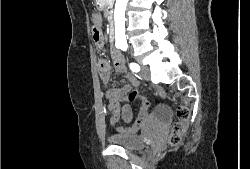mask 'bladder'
<instances>
[{
  "instance_id": "bladder-1",
  "label": "bladder",
  "mask_w": 250,
  "mask_h": 169,
  "mask_svg": "<svg viewBox=\"0 0 250 169\" xmlns=\"http://www.w3.org/2000/svg\"><path fill=\"white\" fill-rule=\"evenodd\" d=\"M108 142L120 148H124L130 152L141 150L147 145H141L139 134H111L108 137Z\"/></svg>"
}]
</instances>
